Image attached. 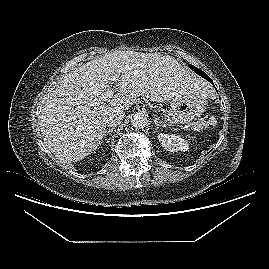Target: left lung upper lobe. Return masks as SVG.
I'll return each mask as SVG.
<instances>
[{"label":"left lung upper lobe","instance_id":"1","mask_svg":"<svg viewBox=\"0 0 269 269\" xmlns=\"http://www.w3.org/2000/svg\"><path fill=\"white\" fill-rule=\"evenodd\" d=\"M189 67H190L191 69H198V68H196V67L193 66V65H189Z\"/></svg>","mask_w":269,"mask_h":269}]
</instances>
